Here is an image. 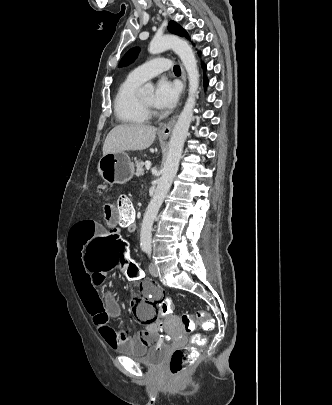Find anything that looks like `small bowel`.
<instances>
[{"instance_id": "obj_1", "label": "small bowel", "mask_w": 332, "mask_h": 405, "mask_svg": "<svg viewBox=\"0 0 332 405\" xmlns=\"http://www.w3.org/2000/svg\"><path fill=\"white\" fill-rule=\"evenodd\" d=\"M104 218L115 230L110 234H120L127 222L120 221V210L110 203L103 207ZM101 234H109L102 226L90 221H79L73 224L70 230L67 245V260L69 272L79 298L92 317V320L102 339L113 349H121L122 353H149L151 349L158 348L156 323L154 314L160 313L157 306L158 299H164L165 288H151L153 283L144 280L140 289H133L132 310L140 320V327L136 329V335L127 336L116 331L110 325V319L120 312L119 297L116 294H108L101 298L98 290L103 285V276L91 273L85 264L86 249L90 248L91 240H100ZM129 256L126 243L124 249ZM135 262V261H133Z\"/></svg>"}]
</instances>
